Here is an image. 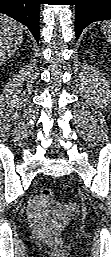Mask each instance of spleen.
Masks as SVG:
<instances>
[{
	"mask_svg": "<svg viewBox=\"0 0 111 257\" xmlns=\"http://www.w3.org/2000/svg\"><path fill=\"white\" fill-rule=\"evenodd\" d=\"M101 29L106 35L108 42L111 43V21L103 22Z\"/></svg>",
	"mask_w": 111,
	"mask_h": 257,
	"instance_id": "1",
	"label": "spleen"
}]
</instances>
